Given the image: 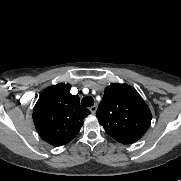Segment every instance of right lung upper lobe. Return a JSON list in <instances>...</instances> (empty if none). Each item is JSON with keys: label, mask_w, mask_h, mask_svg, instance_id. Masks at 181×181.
<instances>
[{"label": "right lung upper lobe", "mask_w": 181, "mask_h": 181, "mask_svg": "<svg viewBox=\"0 0 181 181\" xmlns=\"http://www.w3.org/2000/svg\"><path fill=\"white\" fill-rule=\"evenodd\" d=\"M71 85L59 83L48 87L33 109V121L40 137L53 146L70 142L80 131L90 111L80 106Z\"/></svg>", "instance_id": "cb5924a9"}]
</instances>
